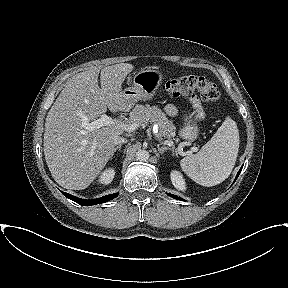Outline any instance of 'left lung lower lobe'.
<instances>
[{
  "mask_svg": "<svg viewBox=\"0 0 288 288\" xmlns=\"http://www.w3.org/2000/svg\"><path fill=\"white\" fill-rule=\"evenodd\" d=\"M242 168H243V166L240 168V170H239V172H238V174H237V176H236V179L238 178V176H239ZM236 179H235V180H236ZM169 195H170L171 197H173L174 199L181 200V201L183 200L182 198H180V197H178V196H176V195H173V194H169Z\"/></svg>",
  "mask_w": 288,
  "mask_h": 288,
  "instance_id": "left-lung-lower-lobe-1",
  "label": "left lung lower lobe"
}]
</instances>
